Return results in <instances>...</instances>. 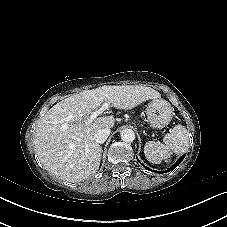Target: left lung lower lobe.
<instances>
[{"label": "left lung lower lobe", "instance_id": "1", "mask_svg": "<svg viewBox=\"0 0 227 227\" xmlns=\"http://www.w3.org/2000/svg\"><path fill=\"white\" fill-rule=\"evenodd\" d=\"M184 157H185V155L181 156V157L178 159V161H177L171 168H169V169L166 170V171L159 172V173H166V172H168V171H171V170L175 169V168L182 162V160L184 159ZM137 160H138V158H137ZM141 165H142L145 169H148V170L153 171V172H157V171H154V170H152V169H150V168L144 166L143 164H141Z\"/></svg>", "mask_w": 227, "mask_h": 227}]
</instances>
